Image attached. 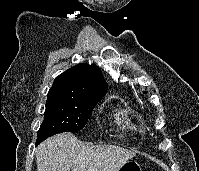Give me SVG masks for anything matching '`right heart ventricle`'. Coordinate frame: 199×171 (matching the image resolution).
Segmentation results:
<instances>
[{"instance_id": "right-heart-ventricle-1", "label": "right heart ventricle", "mask_w": 199, "mask_h": 171, "mask_svg": "<svg viewBox=\"0 0 199 171\" xmlns=\"http://www.w3.org/2000/svg\"><path fill=\"white\" fill-rule=\"evenodd\" d=\"M115 117H116V120L118 123H122L127 126L131 125V120L126 111H124V110L117 111L115 113Z\"/></svg>"}]
</instances>
